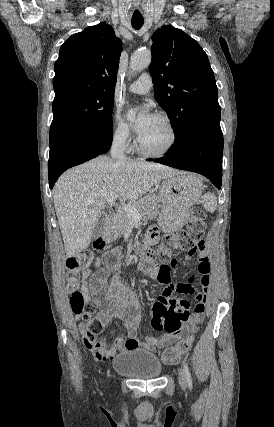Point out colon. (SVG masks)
<instances>
[{"label":"colon","mask_w":274,"mask_h":427,"mask_svg":"<svg viewBox=\"0 0 274 427\" xmlns=\"http://www.w3.org/2000/svg\"><path fill=\"white\" fill-rule=\"evenodd\" d=\"M206 229L205 212L200 208H193L190 212L189 222L181 230L169 234L164 237V240L157 248L156 256L161 263L165 260H171V256H175L181 251L193 249L195 246L196 236H204ZM83 257L81 255H74L67 259V281L69 289L71 290L70 303L74 314L83 313L85 322L84 336L91 338H98L103 340L100 336L103 323L102 320L93 313V306L89 302H85L83 294L76 286L79 282V270L83 264ZM200 312L201 311H196ZM194 320L197 318L194 317ZM194 334H189L188 337H181L178 344L173 347H162L160 354L162 355L163 364H177L180 354H185L186 350H190L193 344ZM185 360L184 358L182 359Z\"/></svg>","instance_id":"colon-1"}]
</instances>
